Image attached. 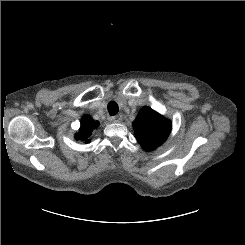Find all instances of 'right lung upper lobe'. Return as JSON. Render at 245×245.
Wrapping results in <instances>:
<instances>
[{
    "label": "right lung upper lobe",
    "mask_w": 245,
    "mask_h": 245,
    "mask_svg": "<svg viewBox=\"0 0 245 245\" xmlns=\"http://www.w3.org/2000/svg\"><path fill=\"white\" fill-rule=\"evenodd\" d=\"M97 126L98 123L93 121L90 116H84L81 120V127L79 129V132L75 138L80 139L81 141H85V143H88V138Z\"/></svg>",
    "instance_id": "cb5924a9"
}]
</instances>
